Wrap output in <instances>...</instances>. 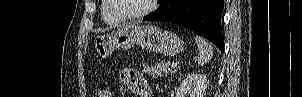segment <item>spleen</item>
I'll list each match as a JSON object with an SVG mask.
<instances>
[{
	"mask_svg": "<svg viewBox=\"0 0 302 97\" xmlns=\"http://www.w3.org/2000/svg\"><path fill=\"white\" fill-rule=\"evenodd\" d=\"M195 41L198 46V65L203 66L208 63L213 57V48L212 45L200 36H195Z\"/></svg>",
	"mask_w": 302,
	"mask_h": 97,
	"instance_id": "spleen-1",
	"label": "spleen"
}]
</instances>
